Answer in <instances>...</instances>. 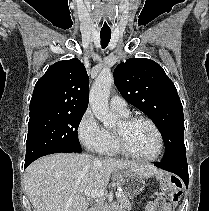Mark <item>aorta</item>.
<instances>
[{
    "mask_svg": "<svg viewBox=\"0 0 209 211\" xmlns=\"http://www.w3.org/2000/svg\"><path fill=\"white\" fill-rule=\"evenodd\" d=\"M114 84L113 75L110 72L101 73L94 81L89 103L95 117L107 128H112L117 123V116L109 109V95Z\"/></svg>",
    "mask_w": 209,
    "mask_h": 211,
    "instance_id": "obj_1",
    "label": "aorta"
}]
</instances>
